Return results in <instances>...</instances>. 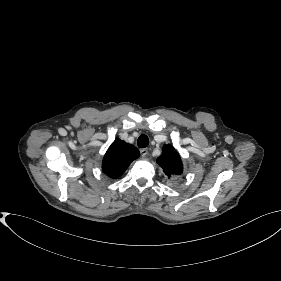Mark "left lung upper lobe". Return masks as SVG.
Here are the masks:
<instances>
[{
  "mask_svg": "<svg viewBox=\"0 0 281 281\" xmlns=\"http://www.w3.org/2000/svg\"><path fill=\"white\" fill-rule=\"evenodd\" d=\"M168 178L179 176L183 172V164L177 151L171 145H165L162 155L157 159Z\"/></svg>",
  "mask_w": 281,
  "mask_h": 281,
  "instance_id": "obj_1",
  "label": "left lung upper lobe"
}]
</instances>
